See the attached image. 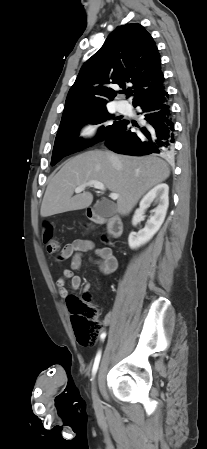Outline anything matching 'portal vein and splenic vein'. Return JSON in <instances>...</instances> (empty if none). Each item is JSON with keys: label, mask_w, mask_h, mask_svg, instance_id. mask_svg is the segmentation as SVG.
I'll return each mask as SVG.
<instances>
[{"label": "portal vein and splenic vein", "mask_w": 207, "mask_h": 449, "mask_svg": "<svg viewBox=\"0 0 207 449\" xmlns=\"http://www.w3.org/2000/svg\"><path fill=\"white\" fill-rule=\"evenodd\" d=\"M88 186L94 187L95 189L102 190V191L105 190V186L102 182L92 180V181H89V182L82 184V185L78 186L77 188H75V192L81 193ZM110 197L113 200H116V199H118L119 195L116 193H112V194H110Z\"/></svg>", "instance_id": "18ae733b"}]
</instances>
